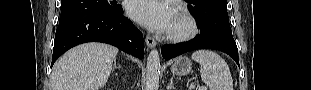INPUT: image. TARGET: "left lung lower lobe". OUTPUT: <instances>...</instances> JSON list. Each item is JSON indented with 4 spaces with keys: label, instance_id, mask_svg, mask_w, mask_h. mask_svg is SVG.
<instances>
[{
    "label": "left lung lower lobe",
    "instance_id": "obj_1",
    "mask_svg": "<svg viewBox=\"0 0 311 90\" xmlns=\"http://www.w3.org/2000/svg\"><path fill=\"white\" fill-rule=\"evenodd\" d=\"M196 49H214L222 51L231 56L239 65L238 49L232 35L218 31L200 33L196 40L189 43L164 45L161 49V52L163 58L168 60L185 52Z\"/></svg>",
    "mask_w": 311,
    "mask_h": 90
}]
</instances>
